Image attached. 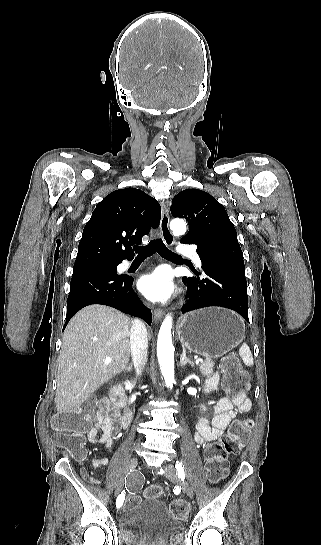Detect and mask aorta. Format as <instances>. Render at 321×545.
<instances>
[{"mask_svg":"<svg viewBox=\"0 0 321 545\" xmlns=\"http://www.w3.org/2000/svg\"><path fill=\"white\" fill-rule=\"evenodd\" d=\"M174 235H183L186 232V222L174 219L170 223ZM172 317L167 315L163 321L158 334L157 357L166 385L173 386L174 383V346L172 344Z\"/></svg>","mask_w":321,"mask_h":545,"instance_id":"aorta-1","label":"aorta"}]
</instances>
